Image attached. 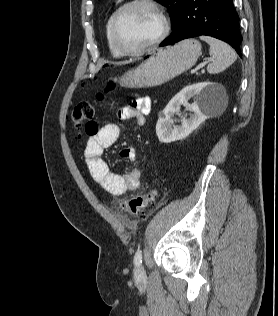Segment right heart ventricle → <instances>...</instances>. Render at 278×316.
<instances>
[{"label":"right heart ventricle","mask_w":278,"mask_h":316,"mask_svg":"<svg viewBox=\"0 0 278 316\" xmlns=\"http://www.w3.org/2000/svg\"><path fill=\"white\" fill-rule=\"evenodd\" d=\"M114 12L115 11H112L108 15V17L106 18V21H105V24H104V34H105L106 42H107L108 48L110 50V53L112 54L113 57L119 58L123 54L115 47V45H114V43L112 41L111 30H110L111 19H112V16H113Z\"/></svg>","instance_id":"right-heart-ventricle-1"}]
</instances>
